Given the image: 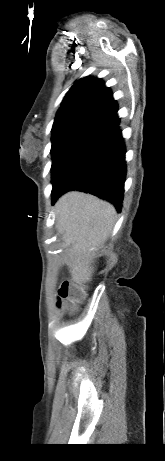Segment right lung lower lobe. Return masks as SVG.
I'll list each match as a JSON object with an SVG mask.
<instances>
[{
  "label": "right lung lower lobe",
  "instance_id": "1",
  "mask_svg": "<svg viewBox=\"0 0 165 461\" xmlns=\"http://www.w3.org/2000/svg\"><path fill=\"white\" fill-rule=\"evenodd\" d=\"M118 117L98 130L52 183V204L66 191L80 190L121 210L126 177L125 145Z\"/></svg>",
  "mask_w": 165,
  "mask_h": 461
}]
</instances>
